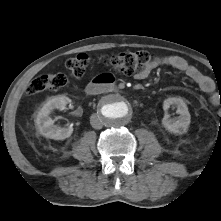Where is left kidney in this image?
Here are the masks:
<instances>
[{"label":"left kidney","instance_id":"1","mask_svg":"<svg viewBox=\"0 0 221 221\" xmlns=\"http://www.w3.org/2000/svg\"><path fill=\"white\" fill-rule=\"evenodd\" d=\"M177 108V114L179 117L176 119L170 118L167 110L170 108ZM163 109L165 110L164 118L162 119L163 127L170 133L176 135H182L187 132L191 116L188 111L186 102L181 97H169L163 102Z\"/></svg>","mask_w":221,"mask_h":221}]
</instances>
